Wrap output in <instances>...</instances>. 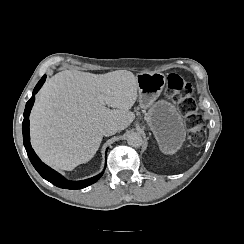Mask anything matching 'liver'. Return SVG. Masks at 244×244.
<instances>
[{"instance_id": "6515ba94", "label": "liver", "mask_w": 244, "mask_h": 244, "mask_svg": "<svg viewBox=\"0 0 244 244\" xmlns=\"http://www.w3.org/2000/svg\"><path fill=\"white\" fill-rule=\"evenodd\" d=\"M137 97V78L130 71H62L38 95L31 114L32 145L44 162L72 170L93 158L103 125L114 123L121 132L132 124L130 109Z\"/></svg>"}]
</instances>
